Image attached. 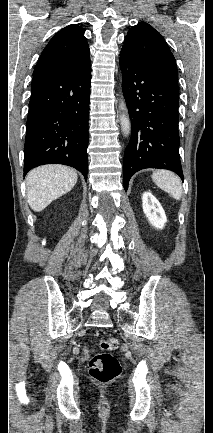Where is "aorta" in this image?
<instances>
[{
  "instance_id": "1",
  "label": "aorta",
  "mask_w": 213,
  "mask_h": 433,
  "mask_svg": "<svg viewBox=\"0 0 213 433\" xmlns=\"http://www.w3.org/2000/svg\"><path fill=\"white\" fill-rule=\"evenodd\" d=\"M119 109L121 111L120 116H119V120H120L122 133L125 137H127L131 133V122H130V118L128 116V110H127L126 103H125L123 96H122V99H121V102L119 105Z\"/></svg>"
}]
</instances>
